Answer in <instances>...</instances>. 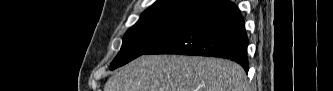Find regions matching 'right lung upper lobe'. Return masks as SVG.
Listing matches in <instances>:
<instances>
[{"label":"right lung upper lobe","mask_w":333,"mask_h":91,"mask_svg":"<svg viewBox=\"0 0 333 91\" xmlns=\"http://www.w3.org/2000/svg\"><path fill=\"white\" fill-rule=\"evenodd\" d=\"M206 0H157L145 10L141 18L147 17H176L192 19L202 11L201 5ZM218 2L219 0H213Z\"/></svg>","instance_id":"cb5924a9"}]
</instances>
